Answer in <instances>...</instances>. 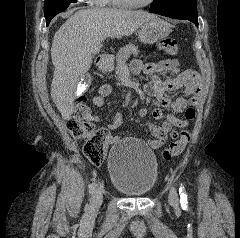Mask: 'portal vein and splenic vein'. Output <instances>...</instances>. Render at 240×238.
<instances>
[{"label":"portal vein and splenic vein","instance_id":"1","mask_svg":"<svg viewBox=\"0 0 240 238\" xmlns=\"http://www.w3.org/2000/svg\"><path fill=\"white\" fill-rule=\"evenodd\" d=\"M100 47H101V45L93 47V48L91 49V52H92L93 54H97V53L99 52V50H100Z\"/></svg>","mask_w":240,"mask_h":238}]
</instances>
